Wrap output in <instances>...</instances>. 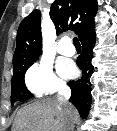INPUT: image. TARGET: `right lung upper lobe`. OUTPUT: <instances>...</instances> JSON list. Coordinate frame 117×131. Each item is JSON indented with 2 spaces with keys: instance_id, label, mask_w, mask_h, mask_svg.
<instances>
[{
  "instance_id": "obj_1",
  "label": "right lung upper lobe",
  "mask_w": 117,
  "mask_h": 131,
  "mask_svg": "<svg viewBox=\"0 0 117 131\" xmlns=\"http://www.w3.org/2000/svg\"><path fill=\"white\" fill-rule=\"evenodd\" d=\"M96 0H55L50 8V17L57 35L63 31H74L81 40L94 32ZM41 12L34 10L19 25L13 69L33 64L41 52Z\"/></svg>"
}]
</instances>
